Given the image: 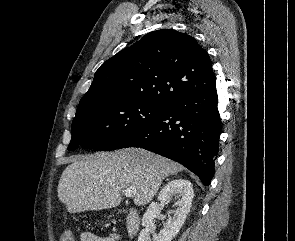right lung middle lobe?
Returning <instances> with one entry per match:
<instances>
[{"label": "right lung middle lobe", "instance_id": "1", "mask_svg": "<svg viewBox=\"0 0 295 241\" xmlns=\"http://www.w3.org/2000/svg\"><path fill=\"white\" fill-rule=\"evenodd\" d=\"M162 108L114 92L83 97L72 122L68 150L80 145L96 151L115 150L127 136L156 118Z\"/></svg>", "mask_w": 295, "mask_h": 241}]
</instances>
